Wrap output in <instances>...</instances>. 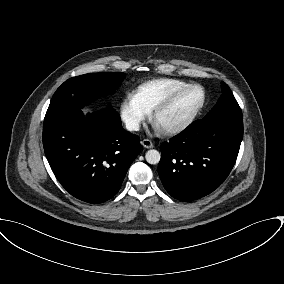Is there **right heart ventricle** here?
<instances>
[{
  "instance_id": "e07e8e85",
  "label": "right heart ventricle",
  "mask_w": 284,
  "mask_h": 284,
  "mask_svg": "<svg viewBox=\"0 0 284 284\" xmlns=\"http://www.w3.org/2000/svg\"><path fill=\"white\" fill-rule=\"evenodd\" d=\"M187 84L186 81L174 78L153 79L140 84L134 95L138 102L150 113L170 94Z\"/></svg>"
}]
</instances>
